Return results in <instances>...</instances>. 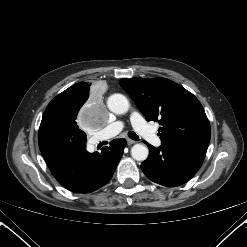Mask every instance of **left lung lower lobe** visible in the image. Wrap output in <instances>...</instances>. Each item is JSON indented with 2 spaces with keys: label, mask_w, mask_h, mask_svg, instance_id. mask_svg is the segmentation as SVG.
<instances>
[{
  "label": "left lung lower lobe",
  "mask_w": 247,
  "mask_h": 247,
  "mask_svg": "<svg viewBox=\"0 0 247 247\" xmlns=\"http://www.w3.org/2000/svg\"><path fill=\"white\" fill-rule=\"evenodd\" d=\"M149 157L141 164L144 174L153 182L175 187L190 180L201 167L209 140L187 139L159 148L146 143Z\"/></svg>",
  "instance_id": "1"
}]
</instances>
